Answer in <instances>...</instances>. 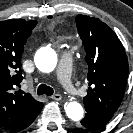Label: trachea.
I'll use <instances>...</instances> for the list:
<instances>
[{"label": "trachea", "mask_w": 133, "mask_h": 133, "mask_svg": "<svg viewBox=\"0 0 133 133\" xmlns=\"http://www.w3.org/2000/svg\"><path fill=\"white\" fill-rule=\"evenodd\" d=\"M53 93H54V90L45 84H41L37 89L38 95H44L45 94L47 96H51V95H53Z\"/></svg>", "instance_id": "trachea-1"}]
</instances>
